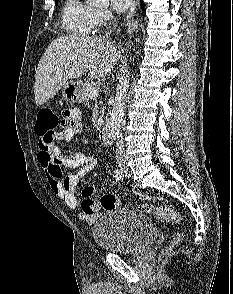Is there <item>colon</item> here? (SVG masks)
Listing matches in <instances>:
<instances>
[{
  "label": "colon",
  "instance_id": "obj_1",
  "mask_svg": "<svg viewBox=\"0 0 233 294\" xmlns=\"http://www.w3.org/2000/svg\"><path fill=\"white\" fill-rule=\"evenodd\" d=\"M61 119L52 109L44 107L37 116L35 124V132L39 137L40 150L51 149L54 146V141L57 136L63 132V126H60ZM50 154H46L49 158ZM100 206L106 210L115 209L118 207V200L114 195L106 194L100 199ZM145 211L154 215L157 219L167 223H179L181 221L180 215L171 207L168 206H154L146 205ZM179 238V235L177 236Z\"/></svg>",
  "mask_w": 233,
  "mask_h": 294
}]
</instances>
